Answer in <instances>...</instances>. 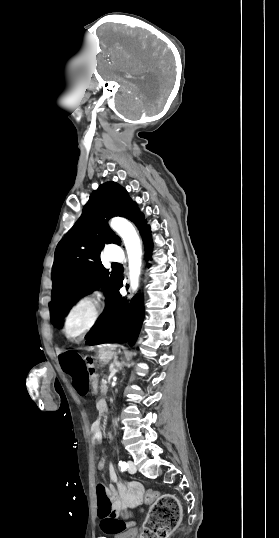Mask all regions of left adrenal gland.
<instances>
[{
	"label": "left adrenal gland",
	"instance_id": "left-adrenal-gland-1",
	"mask_svg": "<svg viewBox=\"0 0 279 538\" xmlns=\"http://www.w3.org/2000/svg\"><path fill=\"white\" fill-rule=\"evenodd\" d=\"M114 362H117V368H121L120 362H118V358H115Z\"/></svg>",
	"mask_w": 279,
	"mask_h": 538
}]
</instances>
